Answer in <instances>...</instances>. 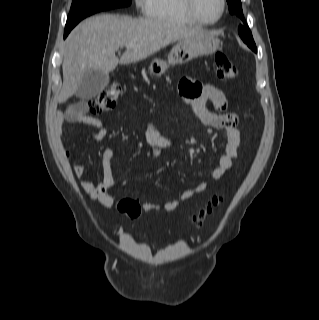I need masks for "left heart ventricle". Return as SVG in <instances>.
I'll list each match as a JSON object with an SVG mask.
<instances>
[{
	"mask_svg": "<svg viewBox=\"0 0 319 320\" xmlns=\"http://www.w3.org/2000/svg\"><path fill=\"white\" fill-rule=\"evenodd\" d=\"M195 1V7L200 17L205 20H214L218 17L221 8L220 0Z\"/></svg>",
	"mask_w": 319,
	"mask_h": 320,
	"instance_id": "1",
	"label": "left heart ventricle"
}]
</instances>
